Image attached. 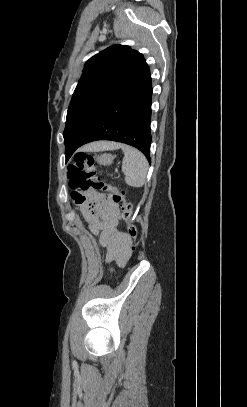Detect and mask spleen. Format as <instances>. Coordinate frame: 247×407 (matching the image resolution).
<instances>
[{"label":"spleen","mask_w":247,"mask_h":407,"mask_svg":"<svg viewBox=\"0 0 247 407\" xmlns=\"http://www.w3.org/2000/svg\"><path fill=\"white\" fill-rule=\"evenodd\" d=\"M124 158L122 172L125 175V183L132 187H142L146 182L148 161L137 149L122 145Z\"/></svg>","instance_id":"3e777b00"}]
</instances>
